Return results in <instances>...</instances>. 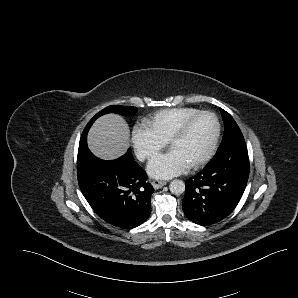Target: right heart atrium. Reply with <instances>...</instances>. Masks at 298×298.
Listing matches in <instances>:
<instances>
[{
    "instance_id": "right-heart-atrium-1",
    "label": "right heart atrium",
    "mask_w": 298,
    "mask_h": 298,
    "mask_svg": "<svg viewBox=\"0 0 298 298\" xmlns=\"http://www.w3.org/2000/svg\"><path fill=\"white\" fill-rule=\"evenodd\" d=\"M131 139L135 152L141 160H146L165 147V141L157 137L150 129L134 125Z\"/></svg>"
}]
</instances>
